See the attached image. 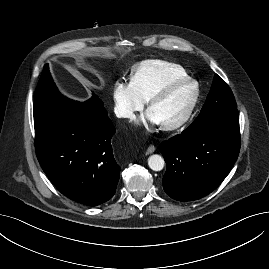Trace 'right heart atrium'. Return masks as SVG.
<instances>
[{
  "mask_svg": "<svg viewBox=\"0 0 269 269\" xmlns=\"http://www.w3.org/2000/svg\"><path fill=\"white\" fill-rule=\"evenodd\" d=\"M113 108L116 116L132 120L144 108L145 101L131 82L117 80L112 87Z\"/></svg>",
  "mask_w": 269,
  "mask_h": 269,
  "instance_id": "1",
  "label": "right heart atrium"
}]
</instances>
